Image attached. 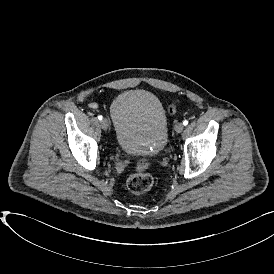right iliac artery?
<instances>
[{
    "label": "right iliac artery",
    "mask_w": 274,
    "mask_h": 274,
    "mask_svg": "<svg viewBox=\"0 0 274 274\" xmlns=\"http://www.w3.org/2000/svg\"><path fill=\"white\" fill-rule=\"evenodd\" d=\"M98 119H99V120H102V119H103V117H102L101 115H99V116H98Z\"/></svg>",
    "instance_id": "1"
}]
</instances>
